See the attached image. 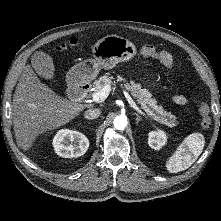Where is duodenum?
I'll return each mask as SVG.
<instances>
[{"label":"duodenum","mask_w":221,"mask_h":221,"mask_svg":"<svg viewBox=\"0 0 221 221\" xmlns=\"http://www.w3.org/2000/svg\"><path fill=\"white\" fill-rule=\"evenodd\" d=\"M89 91V85L85 82L73 81L70 85V96L75 100H83Z\"/></svg>","instance_id":"410a0bca"}]
</instances>
